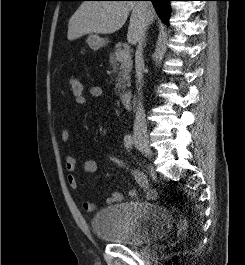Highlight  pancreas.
I'll use <instances>...</instances> for the list:
<instances>
[{
  "label": "pancreas",
  "instance_id": "obj_1",
  "mask_svg": "<svg viewBox=\"0 0 245 265\" xmlns=\"http://www.w3.org/2000/svg\"><path fill=\"white\" fill-rule=\"evenodd\" d=\"M122 50V48H116L114 52L110 53L109 57L110 66L114 67L117 73L116 94H121V91H124L126 86H130V72L133 64L130 55L126 58L120 57Z\"/></svg>",
  "mask_w": 245,
  "mask_h": 265
}]
</instances>
